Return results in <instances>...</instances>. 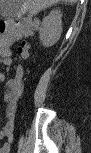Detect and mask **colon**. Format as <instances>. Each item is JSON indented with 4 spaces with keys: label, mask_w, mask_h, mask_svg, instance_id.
I'll list each match as a JSON object with an SVG mask.
<instances>
[{
    "label": "colon",
    "mask_w": 91,
    "mask_h": 153,
    "mask_svg": "<svg viewBox=\"0 0 91 153\" xmlns=\"http://www.w3.org/2000/svg\"><path fill=\"white\" fill-rule=\"evenodd\" d=\"M29 23V19H27L23 24H28ZM20 23H17V25H19ZM7 29L9 30V34L5 35L3 37V41H9L11 37H13L14 35L11 34V31H14L16 29V25L11 24V25H7Z\"/></svg>",
    "instance_id": "1"
}]
</instances>
